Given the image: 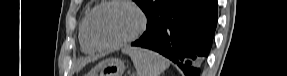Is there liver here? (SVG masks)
Returning <instances> with one entry per match:
<instances>
[{
	"label": "liver",
	"mask_w": 287,
	"mask_h": 76,
	"mask_svg": "<svg viewBox=\"0 0 287 76\" xmlns=\"http://www.w3.org/2000/svg\"><path fill=\"white\" fill-rule=\"evenodd\" d=\"M95 60V58H86V59H84L81 63H80V65H79V67H78V70H81L87 63H89V62H91V61H94Z\"/></svg>",
	"instance_id": "1"
}]
</instances>
